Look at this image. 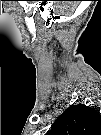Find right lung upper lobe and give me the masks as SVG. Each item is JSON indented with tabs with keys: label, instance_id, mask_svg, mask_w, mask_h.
Returning a JSON list of instances; mask_svg holds the SVG:
<instances>
[{
	"label": "right lung upper lobe",
	"instance_id": "1",
	"mask_svg": "<svg viewBox=\"0 0 101 135\" xmlns=\"http://www.w3.org/2000/svg\"><path fill=\"white\" fill-rule=\"evenodd\" d=\"M95 111L84 105L70 106L58 117L53 128L59 127L70 135H95Z\"/></svg>",
	"mask_w": 101,
	"mask_h": 135
}]
</instances>
